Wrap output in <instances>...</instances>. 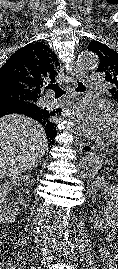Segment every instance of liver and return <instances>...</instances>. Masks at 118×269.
Segmentation results:
<instances>
[{
  "mask_svg": "<svg viewBox=\"0 0 118 269\" xmlns=\"http://www.w3.org/2000/svg\"><path fill=\"white\" fill-rule=\"evenodd\" d=\"M48 150L43 127L19 114L0 119V179L32 169Z\"/></svg>",
  "mask_w": 118,
  "mask_h": 269,
  "instance_id": "1",
  "label": "liver"
}]
</instances>
